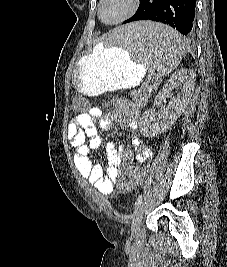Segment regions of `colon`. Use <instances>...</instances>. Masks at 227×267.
Segmentation results:
<instances>
[{
    "mask_svg": "<svg viewBox=\"0 0 227 267\" xmlns=\"http://www.w3.org/2000/svg\"><path fill=\"white\" fill-rule=\"evenodd\" d=\"M86 105L85 99L82 97H77L73 100L72 110H70V115H79V113L84 112V107ZM109 107L108 105L106 106ZM121 188L124 192H136V187H130L127 181L123 180L121 183Z\"/></svg>",
    "mask_w": 227,
    "mask_h": 267,
    "instance_id": "obj_1",
    "label": "colon"
}]
</instances>
